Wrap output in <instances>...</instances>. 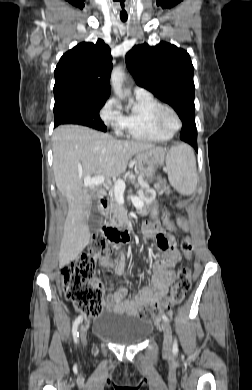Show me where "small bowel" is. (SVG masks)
Listing matches in <instances>:
<instances>
[{
    "instance_id": "c3829d8e",
    "label": "small bowel",
    "mask_w": 252,
    "mask_h": 390,
    "mask_svg": "<svg viewBox=\"0 0 252 390\" xmlns=\"http://www.w3.org/2000/svg\"><path fill=\"white\" fill-rule=\"evenodd\" d=\"M183 228H186V222L182 218L178 223ZM144 233L147 236L155 235L158 246L166 251V257L156 256L153 260L154 277L152 283L154 289L148 285H143L139 294L128 297L126 288L114 289L112 279H107L106 284L110 290L107 300L104 302V308L116 313H126L129 315H138L139 311L145 308L160 305L162 309H166L165 296L169 292L170 285L175 281L176 272L174 270L176 263L181 259L180 252L176 249V241L174 236L164 234L159 225L154 223H146ZM190 258V257H189ZM101 266L112 268L116 275H122L124 268L122 265L113 264L109 257L98 259Z\"/></svg>"
}]
</instances>
